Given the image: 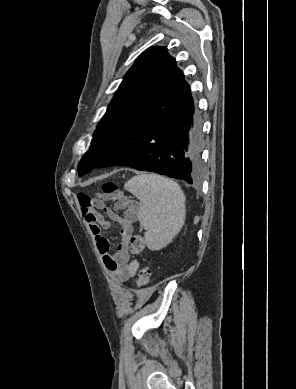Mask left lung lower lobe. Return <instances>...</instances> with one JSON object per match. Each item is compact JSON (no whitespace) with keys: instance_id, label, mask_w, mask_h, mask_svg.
Wrapping results in <instances>:
<instances>
[{"instance_id":"1","label":"left lung lower lobe","mask_w":296,"mask_h":389,"mask_svg":"<svg viewBox=\"0 0 296 389\" xmlns=\"http://www.w3.org/2000/svg\"><path fill=\"white\" fill-rule=\"evenodd\" d=\"M199 140L195 101L181 73L108 129L94 154L98 168L124 165L192 184L198 175Z\"/></svg>"}]
</instances>
